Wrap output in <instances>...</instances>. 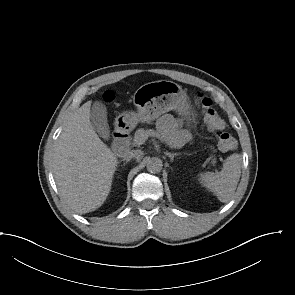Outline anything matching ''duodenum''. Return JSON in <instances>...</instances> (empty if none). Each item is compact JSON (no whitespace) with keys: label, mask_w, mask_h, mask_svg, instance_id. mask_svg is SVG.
<instances>
[{"label":"duodenum","mask_w":295,"mask_h":295,"mask_svg":"<svg viewBox=\"0 0 295 295\" xmlns=\"http://www.w3.org/2000/svg\"><path fill=\"white\" fill-rule=\"evenodd\" d=\"M113 151L117 156H124L128 153L130 139L127 130L117 127L113 135Z\"/></svg>","instance_id":"obj_1"}]
</instances>
